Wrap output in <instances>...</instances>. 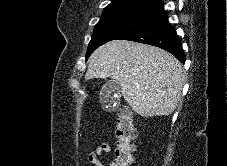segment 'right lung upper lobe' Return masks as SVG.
I'll use <instances>...</instances> for the list:
<instances>
[{"label":"right lung upper lobe","instance_id":"obj_1","mask_svg":"<svg viewBox=\"0 0 227 166\" xmlns=\"http://www.w3.org/2000/svg\"><path fill=\"white\" fill-rule=\"evenodd\" d=\"M123 4L149 5V6H156L160 8L162 7L163 2L161 0H113L107 7H113L116 5H123Z\"/></svg>","mask_w":227,"mask_h":166}]
</instances>
